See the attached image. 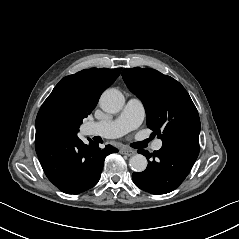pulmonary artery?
Segmentation results:
<instances>
[{"label": "pulmonary artery", "instance_id": "e3ab8cb5", "mask_svg": "<svg viewBox=\"0 0 239 239\" xmlns=\"http://www.w3.org/2000/svg\"><path fill=\"white\" fill-rule=\"evenodd\" d=\"M144 107L137 97H130L120 115L115 119L92 121L85 125V134L90 136L97 133L99 129H105L113 134L114 138L136 129L144 119ZM162 141L157 140L154 144L155 150H160Z\"/></svg>", "mask_w": 239, "mask_h": 239}]
</instances>
